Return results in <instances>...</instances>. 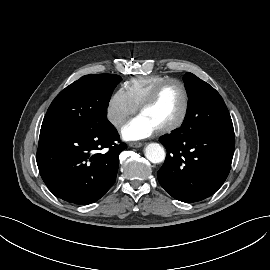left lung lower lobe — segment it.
Wrapping results in <instances>:
<instances>
[{
	"label": "left lung lower lobe",
	"instance_id": "0a47b994",
	"mask_svg": "<svg viewBox=\"0 0 270 270\" xmlns=\"http://www.w3.org/2000/svg\"><path fill=\"white\" fill-rule=\"evenodd\" d=\"M173 131L160 138L167 149L158 171L161 186L175 199L197 202L214 194L226 180L234 154V129Z\"/></svg>",
	"mask_w": 270,
	"mask_h": 270
}]
</instances>
